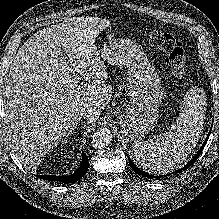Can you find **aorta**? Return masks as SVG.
<instances>
[{"instance_id": "obj_1", "label": "aorta", "mask_w": 219, "mask_h": 219, "mask_svg": "<svg viewBox=\"0 0 219 219\" xmlns=\"http://www.w3.org/2000/svg\"><path fill=\"white\" fill-rule=\"evenodd\" d=\"M112 141V133L107 128H99L92 136L91 144L94 148H105Z\"/></svg>"}]
</instances>
